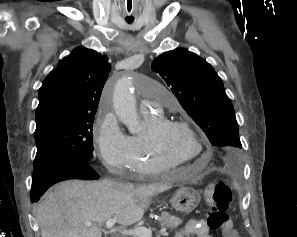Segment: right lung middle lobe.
I'll return each mask as SVG.
<instances>
[{"instance_id":"1","label":"right lung middle lobe","mask_w":297,"mask_h":237,"mask_svg":"<svg viewBox=\"0 0 297 237\" xmlns=\"http://www.w3.org/2000/svg\"><path fill=\"white\" fill-rule=\"evenodd\" d=\"M95 115L84 117L54 116L37 123L32 184L42 182L49 166L64 160L93 158V121Z\"/></svg>"}]
</instances>
